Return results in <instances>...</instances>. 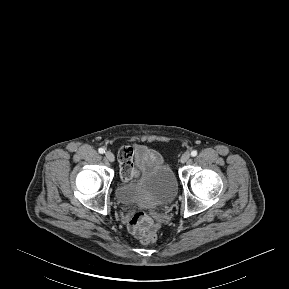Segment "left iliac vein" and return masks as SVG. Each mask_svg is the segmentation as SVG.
<instances>
[{
	"label": "left iliac vein",
	"mask_w": 289,
	"mask_h": 289,
	"mask_svg": "<svg viewBox=\"0 0 289 289\" xmlns=\"http://www.w3.org/2000/svg\"><path fill=\"white\" fill-rule=\"evenodd\" d=\"M189 159H190V154L186 152V153H184V154L181 156L180 162H181V163H185V162H187Z\"/></svg>",
	"instance_id": "4c4485c4"
}]
</instances>
